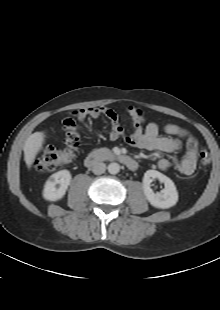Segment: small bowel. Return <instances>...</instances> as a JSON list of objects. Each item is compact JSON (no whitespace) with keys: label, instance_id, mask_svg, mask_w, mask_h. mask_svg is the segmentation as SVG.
Here are the masks:
<instances>
[{"label":"small bowel","instance_id":"1","mask_svg":"<svg viewBox=\"0 0 220 310\" xmlns=\"http://www.w3.org/2000/svg\"><path fill=\"white\" fill-rule=\"evenodd\" d=\"M128 112L134 121V128L129 134L124 132L118 115L109 108L87 107L75 111L74 115L79 122H84L87 118L105 116L110 122L109 139L123 138L127 144L134 148L172 153L186 145L185 155L176 168L185 176L193 175L197 165L198 145L186 129L175 124H167L165 131L168 136L162 137L156 123L150 122L145 128L142 127L144 114L140 109L130 107ZM158 167L161 170H167L171 167V162L167 158H161L158 161Z\"/></svg>","mask_w":220,"mask_h":310}]
</instances>
